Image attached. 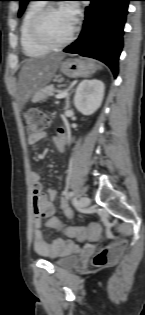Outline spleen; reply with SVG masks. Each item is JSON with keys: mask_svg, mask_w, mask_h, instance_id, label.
Segmentation results:
<instances>
[{"mask_svg": "<svg viewBox=\"0 0 145 315\" xmlns=\"http://www.w3.org/2000/svg\"><path fill=\"white\" fill-rule=\"evenodd\" d=\"M98 67H99V69H102V67L100 65Z\"/></svg>", "mask_w": 145, "mask_h": 315, "instance_id": "obj_1", "label": "spleen"}]
</instances>
